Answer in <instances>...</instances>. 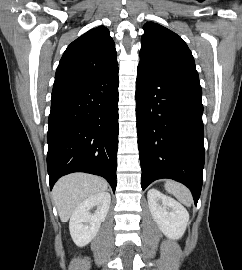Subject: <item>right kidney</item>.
Masks as SVG:
<instances>
[{
	"label": "right kidney",
	"mask_w": 242,
	"mask_h": 270,
	"mask_svg": "<svg viewBox=\"0 0 242 270\" xmlns=\"http://www.w3.org/2000/svg\"><path fill=\"white\" fill-rule=\"evenodd\" d=\"M111 196L108 192L92 195L81 202L70 217L69 230L74 243L83 247L90 243L99 231L109 210ZM97 206L92 214L90 210Z\"/></svg>",
	"instance_id": "obj_1"
}]
</instances>
